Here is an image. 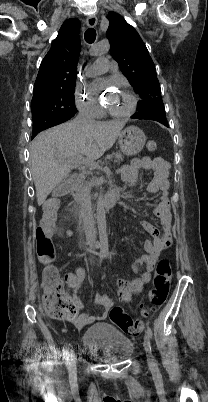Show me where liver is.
<instances>
[{
    "instance_id": "obj_1",
    "label": "liver",
    "mask_w": 208,
    "mask_h": 402,
    "mask_svg": "<svg viewBox=\"0 0 208 402\" xmlns=\"http://www.w3.org/2000/svg\"><path fill=\"white\" fill-rule=\"evenodd\" d=\"M126 122H92L75 126L61 124L41 132L32 142L31 172L36 188L38 206L50 192L68 178L80 156L98 160L112 148Z\"/></svg>"
}]
</instances>
